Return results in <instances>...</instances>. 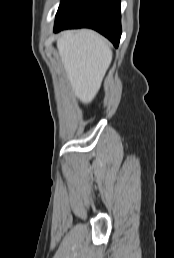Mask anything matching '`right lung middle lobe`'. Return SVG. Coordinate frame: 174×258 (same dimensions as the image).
I'll list each match as a JSON object with an SVG mask.
<instances>
[{"mask_svg":"<svg viewBox=\"0 0 174 258\" xmlns=\"http://www.w3.org/2000/svg\"><path fill=\"white\" fill-rule=\"evenodd\" d=\"M68 0H62L59 6L58 11L67 3Z\"/></svg>","mask_w":174,"mask_h":258,"instance_id":"right-lung-middle-lobe-1","label":"right lung middle lobe"}]
</instances>
